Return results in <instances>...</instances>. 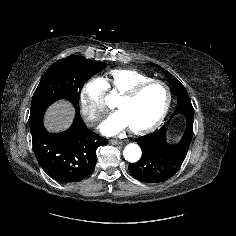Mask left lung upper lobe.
Listing matches in <instances>:
<instances>
[{"instance_id":"5c2ea615","label":"left lung upper lobe","mask_w":236,"mask_h":236,"mask_svg":"<svg viewBox=\"0 0 236 236\" xmlns=\"http://www.w3.org/2000/svg\"><path fill=\"white\" fill-rule=\"evenodd\" d=\"M157 67L163 71H165L162 67L158 66ZM165 75L167 76L170 84L172 85L176 96H177V103L180 104L182 102H186L189 101L191 102L188 93L186 91V89L184 88V86L168 71H165Z\"/></svg>"}]
</instances>
